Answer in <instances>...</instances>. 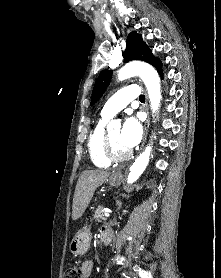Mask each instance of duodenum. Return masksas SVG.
I'll return each instance as SVG.
<instances>
[{
  "label": "duodenum",
  "instance_id": "1",
  "mask_svg": "<svg viewBox=\"0 0 221 278\" xmlns=\"http://www.w3.org/2000/svg\"><path fill=\"white\" fill-rule=\"evenodd\" d=\"M113 237V231L111 227H106L101 233L102 246L106 247L110 244Z\"/></svg>",
  "mask_w": 221,
  "mask_h": 278
}]
</instances>
